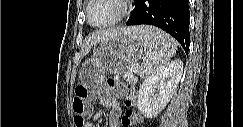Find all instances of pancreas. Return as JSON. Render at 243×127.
I'll list each match as a JSON object with an SVG mask.
<instances>
[{"instance_id": "pancreas-1", "label": "pancreas", "mask_w": 243, "mask_h": 127, "mask_svg": "<svg viewBox=\"0 0 243 127\" xmlns=\"http://www.w3.org/2000/svg\"><path fill=\"white\" fill-rule=\"evenodd\" d=\"M128 81H130L132 83H136L137 82V78L131 76L130 78H128Z\"/></svg>"}]
</instances>
